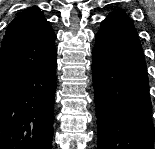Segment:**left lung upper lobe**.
<instances>
[{
    "label": "left lung upper lobe",
    "instance_id": "5c2ea615",
    "mask_svg": "<svg viewBox=\"0 0 155 149\" xmlns=\"http://www.w3.org/2000/svg\"><path fill=\"white\" fill-rule=\"evenodd\" d=\"M114 13H124L123 10H115L114 12H112L111 14H114Z\"/></svg>",
    "mask_w": 155,
    "mask_h": 149
}]
</instances>
